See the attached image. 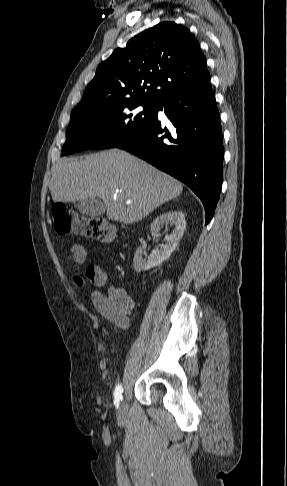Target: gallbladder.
Segmentation results:
<instances>
[{"instance_id":"gallbladder-1","label":"gallbladder","mask_w":287,"mask_h":486,"mask_svg":"<svg viewBox=\"0 0 287 486\" xmlns=\"http://www.w3.org/2000/svg\"><path fill=\"white\" fill-rule=\"evenodd\" d=\"M74 206L82 215L89 217H96L105 213V206L98 198L79 200Z\"/></svg>"}]
</instances>
